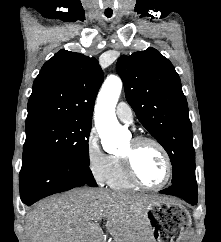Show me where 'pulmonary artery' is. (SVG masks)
<instances>
[{
	"instance_id": "1",
	"label": "pulmonary artery",
	"mask_w": 221,
	"mask_h": 242,
	"mask_svg": "<svg viewBox=\"0 0 221 242\" xmlns=\"http://www.w3.org/2000/svg\"><path fill=\"white\" fill-rule=\"evenodd\" d=\"M116 115L123 123L132 124L133 122L132 109L126 102L121 101L117 104Z\"/></svg>"
}]
</instances>
